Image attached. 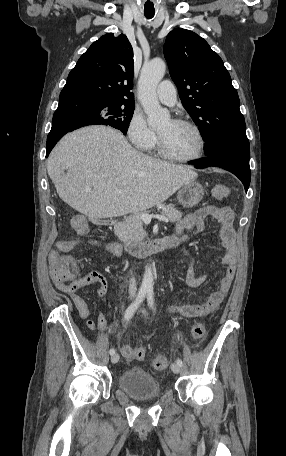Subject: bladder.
I'll return each mask as SVG.
<instances>
[{"instance_id": "obj_1", "label": "bladder", "mask_w": 286, "mask_h": 456, "mask_svg": "<svg viewBox=\"0 0 286 456\" xmlns=\"http://www.w3.org/2000/svg\"><path fill=\"white\" fill-rule=\"evenodd\" d=\"M120 389L137 401H146L161 395L162 389L157 379L140 367H132L119 377Z\"/></svg>"}]
</instances>
